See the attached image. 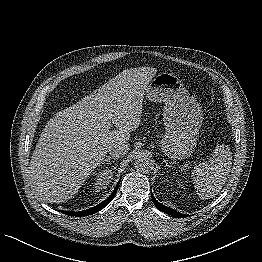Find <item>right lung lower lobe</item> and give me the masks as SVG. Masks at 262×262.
<instances>
[{"instance_id":"1","label":"right lung lower lobe","mask_w":262,"mask_h":262,"mask_svg":"<svg viewBox=\"0 0 262 262\" xmlns=\"http://www.w3.org/2000/svg\"><path fill=\"white\" fill-rule=\"evenodd\" d=\"M119 184H120V181L118 182L117 186L115 187L114 191L112 192V194L106 199L104 200L103 202H101L100 204L90 208V209H86V210H83V211H78V212H74V211H62V210H59L61 213H64L66 215H71V216H88V215H91V214H94L98 211H100L101 209H103L105 206H107L110 201L114 198L117 190H118V187H119Z\"/></svg>"}]
</instances>
